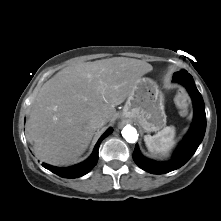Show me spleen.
Segmentation results:
<instances>
[{
  "label": "spleen",
  "mask_w": 221,
  "mask_h": 221,
  "mask_svg": "<svg viewBox=\"0 0 221 221\" xmlns=\"http://www.w3.org/2000/svg\"><path fill=\"white\" fill-rule=\"evenodd\" d=\"M175 134V127L167 126L153 136L145 135L144 141L151 153L164 155L173 146Z\"/></svg>",
  "instance_id": "3e777b00"
}]
</instances>
